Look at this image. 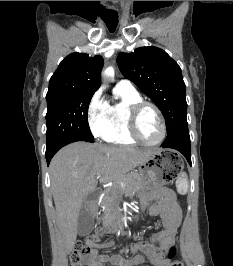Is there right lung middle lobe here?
<instances>
[{
	"instance_id": "dd1d6c3e",
	"label": "right lung middle lobe",
	"mask_w": 233,
	"mask_h": 266,
	"mask_svg": "<svg viewBox=\"0 0 233 266\" xmlns=\"http://www.w3.org/2000/svg\"><path fill=\"white\" fill-rule=\"evenodd\" d=\"M94 93H74L46 98L47 149L77 137L93 139L87 112Z\"/></svg>"
}]
</instances>
